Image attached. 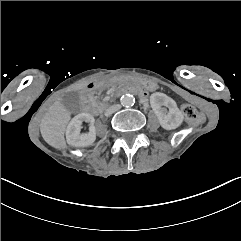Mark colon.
Returning a JSON list of instances; mask_svg holds the SVG:
<instances>
[{"label":"colon","mask_w":241,"mask_h":241,"mask_svg":"<svg viewBox=\"0 0 241 241\" xmlns=\"http://www.w3.org/2000/svg\"><path fill=\"white\" fill-rule=\"evenodd\" d=\"M183 114L185 118L192 124H198L201 121V117L199 115L196 107L189 103H184L181 106Z\"/></svg>","instance_id":"obj_1"}]
</instances>
